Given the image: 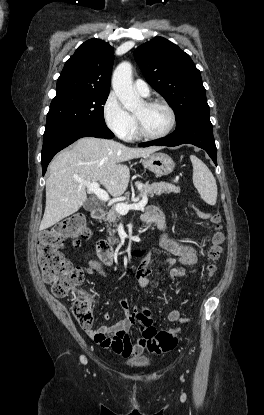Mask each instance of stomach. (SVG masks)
<instances>
[{
  "mask_svg": "<svg viewBox=\"0 0 264 415\" xmlns=\"http://www.w3.org/2000/svg\"><path fill=\"white\" fill-rule=\"evenodd\" d=\"M142 165L158 177L170 174L175 167L172 158L161 152L152 153L144 157L142 159Z\"/></svg>",
  "mask_w": 264,
  "mask_h": 415,
  "instance_id": "1",
  "label": "stomach"
}]
</instances>
